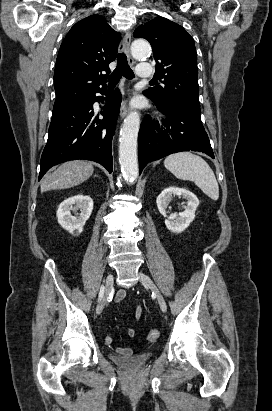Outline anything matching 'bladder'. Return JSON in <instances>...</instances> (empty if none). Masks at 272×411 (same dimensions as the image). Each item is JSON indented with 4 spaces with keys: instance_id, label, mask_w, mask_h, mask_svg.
<instances>
[{
    "instance_id": "bladder-1",
    "label": "bladder",
    "mask_w": 272,
    "mask_h": 411,
    "mask_svg": "<svg viewBox=\"0 0 272 411\" xmlns=\"http://www.w3.org/2000/svg\"><path fill=\"white\" fill-rule=\"evenodd\" d=\"M152 358V353L144 352L132 356L112 355L111 360L119 367L135 372L142 369L147 362Z\"/></svg>"
}]
</instances>
